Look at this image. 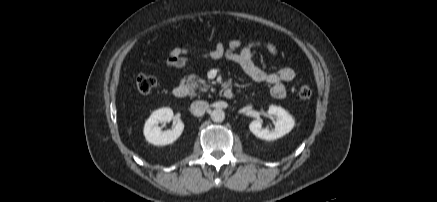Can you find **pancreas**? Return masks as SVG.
I'll return each instance as SVG.
<instances>
[{
    "instance_id": "pancreas-1",
    "label": "pancreas",
    "mask_w": 437,
    "mask_h": 202,
    "mask_svg": "<svg viewBox=\"0 0 437 202\" xmlns=\"http://www.w3.org/2000/svg\"><path fill=\"white\" fill-rule=\"evenodd\" d=\"M181 83H186V87L189 89L191 96H196V89H199V92H206L209 88L205 80L194 74L188 75L186 78L182 79Z\"/></svg>"
}]
</instances>
